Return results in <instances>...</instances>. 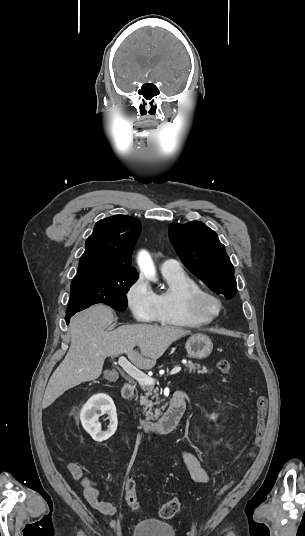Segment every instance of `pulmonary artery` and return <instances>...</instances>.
<instances>
[{
    "instance_id": "1",
    "label": "pulmonary artery",
    "mask_w": 305,
    "mask_h": 536,
    "mask_svg": "<svg viewBox=\"0 0 305 536\" xmlns=\"http://www.w3.org/2000/svg\"><path fill=\"white\" fill-rule=\"evenodd\" d=\"M181 269L179 263L176 260L173 259H167L163 260L161 262V270L167 271V270H178Z\"/></svg>"
}]
</instances>
